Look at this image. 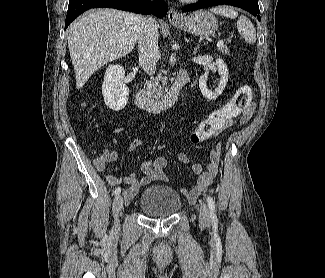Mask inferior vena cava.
Returning <instances> with one entry per match:
<instances>
[{"mask_svg":"<svg viewBox=\"0 0 325 278\" xmlns=\"http://www.w3.org/2000/svg\"><path fill=\"white\" fill-rule=\"evenodd\" d=\"M138 48L140 65L147 74H154L160 53L158 47V25L151 16L143 18L139 31Z\"/></svg>","mask_w":325,"mask_h":278,"instance_id":"1","label":"inferior vena cava"}]
</instances>
